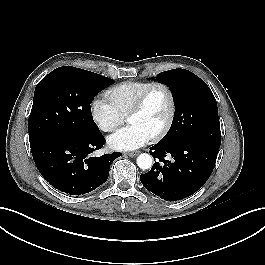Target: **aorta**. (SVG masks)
<instances>
[{"mask_svg": "<svg viewBox=\"0 0 265 265\" xmlns=\"http://www.w3.org/2000/svg\"><path fill=\"white\" fill-rule=\"evenodd\" d=\"M137 165L139 168H141L143 170L150 169L153 165V159H152L151 155H149L147 153H141L137 157Z\"/></svg>", "mask_w": 265, "mask_h": 265, "instance_id": "aorta-1", "label": "aorta"}]
</instances>
